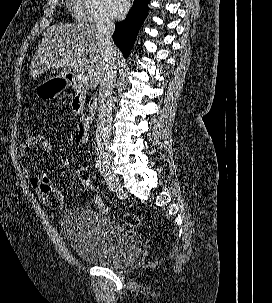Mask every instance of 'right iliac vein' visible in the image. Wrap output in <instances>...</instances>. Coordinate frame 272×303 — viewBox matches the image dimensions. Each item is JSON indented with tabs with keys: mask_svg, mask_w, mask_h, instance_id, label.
Here are the masks:
<instances>
[{
	"mask_svg": "<svg viewBox=\"0 0 272 303\" xmlns=\"http://www.w3.org/2000/svg\"><path fill=\"white\" fill-rule=\"evenodd\" d=\"M100 158H101L103 166L106 168L108 174L110 175V178L114 184V187L116 188L117 191L120 192L122 190V188L120 186L118 176L112 172L113 163H112L111 158H109L108 156H104V155H102Z\"/></svg>",
	"mask_w": 272,
	"mask_h": 303,
	"instance_id": "right-iliac-vein-1",
	"label": "right iliac vein"
}]
</instances>
